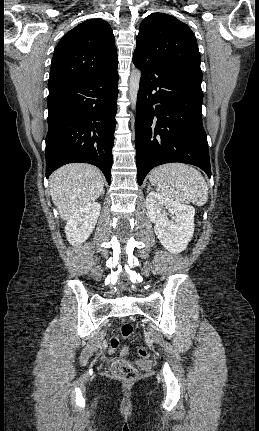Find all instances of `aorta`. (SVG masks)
I'll use <instances>...</instances> for the list:
<instances>
[{
    "label": "aorta",
    "mask_w": 259,
    "mask_h": 431,
    "mask_svg": "<svg viewBox=\"0 0 259 431\" xmlns=\"http://www.w3.org/2000/svg\"><path fill=\"white\" fill-rule=\"evenodd\" d=\"M141 79V73L138 69H134L131 72L130 81H129V97L132 103V108L136 109V101L139 91V84Z\"/></svg>",
    "instance_id": "1"
}]
</instances>
